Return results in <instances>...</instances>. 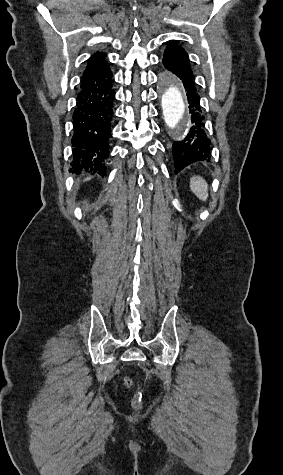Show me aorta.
Segmentation results:
<instances>
[{
  "mask_svg": "<svg viewBox=\"0 0 283 475\" xmlns=\"http://www.w3.org/2000/svg\"><path fill=\"white\" fill-rule=\"evenodd\" d=\"M161 104L165 124L178 138L184 137L190 127V118L184 99L183 88L178 79L163 74Z\"/></svg>",
  "mask_w": 283,
  "mask_h": 475,
  "instance_id": "1",
  "label": "aorta"
}]
</instances>
